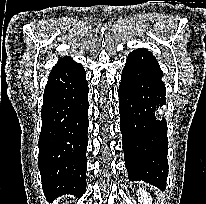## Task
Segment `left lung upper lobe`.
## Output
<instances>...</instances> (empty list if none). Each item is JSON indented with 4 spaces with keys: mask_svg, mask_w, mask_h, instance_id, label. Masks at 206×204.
<instances>
[{
    "mask_svg": "<svg viewBox=\"0 0 206 204\" xmlns=\"http://www.w3.org/2000/svg\"><path fill=\"white\" fill-rule=\"evenodd\" d=\"M151 57L154 56L146 49L135 50L128 55V59L131 60L132 64L136 63L137 61L149 60Z\"/></svg>",
    "mask_w": 206,
    "mask_h": 204,
    "instance_id": "left-lung-upper-lobe-1",
    "label": "left lung upper lobe"
}]
</instances>
